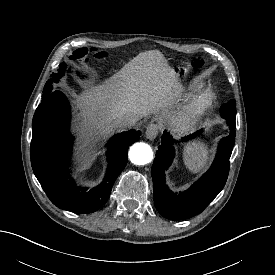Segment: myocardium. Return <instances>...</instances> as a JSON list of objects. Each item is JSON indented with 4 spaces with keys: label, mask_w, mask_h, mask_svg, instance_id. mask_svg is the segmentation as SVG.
Instances as JSON below:
<instances>
[{
    "label": "myocardium",
    "mask_w": 275,
    "mask_h": 275,
    "mask_svg": "<svg viewBox=\"0 0 275 275\" xmlns=\"http://www.w3.org/2000/svg\"><path fill=\"white\" fill-rule=\"evenodd\" d=\"M216 100L212 90H202L193 94L177 114L174 126L179 132L196 127L213 108Z\"/></svg>",
    "instance_id": "obj_1"
}]
</instances>
